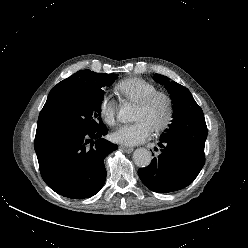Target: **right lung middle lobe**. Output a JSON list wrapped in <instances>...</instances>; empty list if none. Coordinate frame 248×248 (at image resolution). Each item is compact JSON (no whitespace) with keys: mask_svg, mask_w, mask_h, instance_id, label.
Listing matches in <instances>:
<instances>
[{"mask_svg":"<svg viewBox=\"0 0 248 248\" xmlns=\"http://www.w3.org/2000/svg\"><path fill=\"white\" fill-rule=\"evenodd\" d=\"M83 71L84 80L79 88L45 103L39 114L37 128L96 131L105 127L101 118L103 90L118 78V74H99L88 69Z\"/></svg>","mask_w":248,"mask_h":248,"instance_id":"1","label":"right lung middle lobe"}]
</instances>
